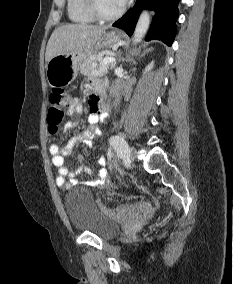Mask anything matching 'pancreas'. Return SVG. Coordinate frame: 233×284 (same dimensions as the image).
<instances>
[{
  "label": "pancreas",
  "mask_w": 233,
  "mask_h": 284,
  "mask_svg": "<svg viewBox=\"0 0 233 284\" xmlns=\"http://www.w3.org/2000/svg\"><path fill=\"white\" fill-rule=\"evenodd\" d=\"M103 57H99L98 55L94 54L90 56L88 59L84 60L80 66L79 70L83 75L86 76H92L96 74H104L107 72V70L113 69L115 67V63H108V64H103ZM99 61V64L97 63ZM96 63V66H93L92 64Z\"/></svg>",
  "instance_id": "cf45deb5"
}]
</instances>
